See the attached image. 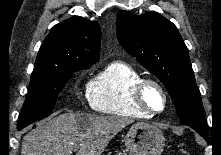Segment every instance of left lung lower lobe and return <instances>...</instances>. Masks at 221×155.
<instances>
[{
    "label": "left lung lower lobe",
    "instance_id": "0a47b994",
    "mask_svg": "<svg viewBox=\"0 0 221 155\" xmlns=\"http://www.w3.org/2000/svg\"><path fill=\"white\" fill-rule=\"evenodd\" d=\"M188 126H190L191 128H193L194 130H196L202 137L205 138L206 141L209 140L208 134H207L206 131H205V127H197V126H191V125H188Z\"/></svg>",
    "mask_w": 221,
    "mask_h": 155
}]
</instances>
